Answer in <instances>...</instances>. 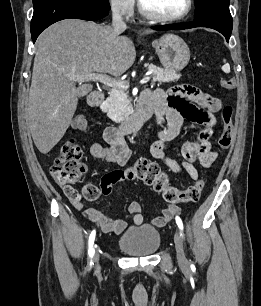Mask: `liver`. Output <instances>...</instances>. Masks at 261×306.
<instances>
[{
	"label": "liver",
	"mask_w": 261,
	"mask_h": 306,
	"mask_svg": "<svg viewBox=\"0 0 261 306\" xmlns=\"http://www.w3.org/2000/svg\"><path fill=\"white\" fill-rule=\"evenodd\" d=\"M135 58L133 42L110 26L65 19L43 31L36 41L27 110L38 150L43 154L52 150L68 129L79 98L93 89L81 82L76 87L72 75L109 73L118 77Z\"/></svg>",
	"instance_id": "obj_1"
}]
</instances>
